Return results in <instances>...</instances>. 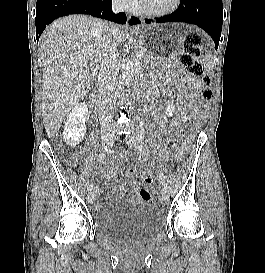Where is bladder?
<instances>
[{"label": "bladder", "instance_id": "obj_1", "mask_svg": "<svg viewBox=\"0 0 265 273\" xmlns=\"http://www.w3.org/2000/svg\"><path fill=\"white\" fill-rule=\"evenodd\" d=\"M98 231L111 239L143 242L164 227L163 214L155 205L137 204L95 219Z\"/></svg>", "mask_w": 265, "mask_h": 273}]
</instances>
